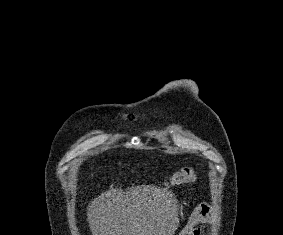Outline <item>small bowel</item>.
I'll list each match as a JSON object with an SVG mask.
<instances>
[{"label": "small bowel", "mask_w": 283, "mask_h": 235, "mask_svg": "<svg viewBox=\"0 0 283 235\" xmlns=\"http://www.w3.org/2000/svg\"><path fill=\"white\" fill-rule=\"evenodd\" d=\"M211 217V209L206 204L197 206L190 216L186 229L189 230L188 235H203L204 228ZM200 224L201 227L193 228L195 225Z\"/></svg>", "instance_id": "1"}]
</instances>
